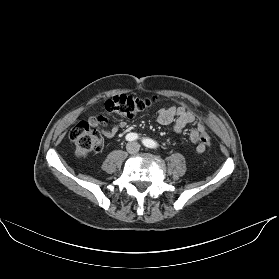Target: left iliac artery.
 I'll return each mask as SVG.
<instances>
[{"label":"left iliac artery","mask_w":279,"mask_h":279,"mask_svg":"<svg viewBox=\"0 0 279 279\" xmlns=\"http://www.w3.org/2000/svg\"><path fill=\"white\" fill-rule=\"evenodd\" d=\"M142 142L148 148H154L155 147V142L151 139H143Z\"/></svg>","instance_id":"left-iliac-artery-1"}]
</instances>
